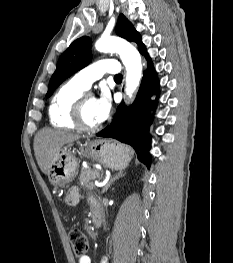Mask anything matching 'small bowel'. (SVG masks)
<instances>
[{
	"mask_svg": "<svg viewBox=\"0 0 233 263\" xmlns=\"http://www.w3.org/2000/svg\"><path fill=\"white\" fill-rule=\"evenodd\" d=\"M79 201V194H78V190L76 188H73L69 191V193L66 196V202L70 205H75L77 204V202ZM97 201L95 199H90L89 203L91 205V203H94ZM77 263H92V259L89 255H85L84 257L78 259ZM101 263H108V259L106 256H104L102 258Z\"/></svg>",
	"mask_w": 233,
	"mask_h": 263,
	"instance_id": "small-bowel-1",
	"label": "small bowel"
}]
</instances>
